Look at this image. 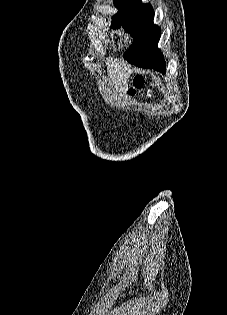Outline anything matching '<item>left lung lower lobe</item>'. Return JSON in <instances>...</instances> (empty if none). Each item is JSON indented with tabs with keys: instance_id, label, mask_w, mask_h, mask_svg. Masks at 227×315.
I'll list each match as a JSON object with an SVG mask.
<instances>
[{
	"instance_id": "left-lung-lower-lobe-1",
	"label": "left lung lower lobe",
	"mask_w": 227,
	"mask_h": 315,
	"mask_svg": "<svg viewBox=\"0 0 227 315\" xmlns=\"http://www.w3.org/2000/svg\"><path fill=\"white\" fill-rule=\"evenodd\" d=\"M157 41L145 38L131 47L127 61L141 68H153L165 73V61L157 49Z\"/></svg>"
}]
</instances>
